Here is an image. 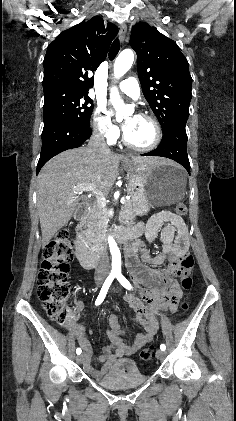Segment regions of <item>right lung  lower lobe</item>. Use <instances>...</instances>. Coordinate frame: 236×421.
<instances>
[{
  "label": "right lung lower lobe",
  "mask_w": 236,
  "mask_h": 421,
  "mask_svg": "<svg viewBox=\"0 0 236 421\" xmlns=\"http://www.w3.org/2000/svg\"><path fill=\"white\" fill-rule=\"evenodd\" d=\"M91 133V129L78 127L67 122H56L44 128L37 173L49 159L58 153L81 146L91 136Z\"/></svg>",
  "instance_id": "obj_1"
}]
</instances>
